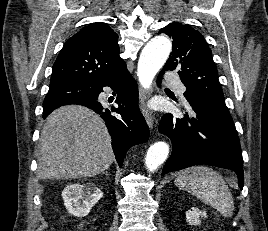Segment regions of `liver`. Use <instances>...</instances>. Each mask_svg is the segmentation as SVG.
I'll use <instances>...</instances> for the list:
<instances>
[{"label":"liver","instance_id":"liver-1","mask_svg":"<svg viewBox=\"0 0 268 231\" xmlns=\"http://www.w3.org/2000/svg\"><path fill=\"white\" fill-rule=\"evenodd\" d=\"M113 161L108 130L89 108L67 105L46 118L39 143L38 178L93 177Z\"/></svg>","mask_w":268,"mask_h":231}]
</instances>
